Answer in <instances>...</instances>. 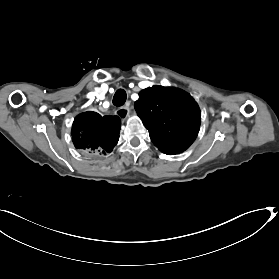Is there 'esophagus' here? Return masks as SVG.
Listing matches in <instances>:
<instances>
[{
  "label": "esophagus",
  "mask_w": 279,
  "mask_h": 279,
  "mask_svg": "<svg viewBox=\"0 0 279 279\" xmlns=\"http://www.w3.org/2000/svg\"><path fill=\"white\" fill-rule=\"evenodd\" d=\"M115 114L120 117L122 120H125L128 115H129V106L128 105H124L120 108H118L116 111H115Z\"/></svg>",
  "instance_id": "esophagus-1"
}]
</instances>
